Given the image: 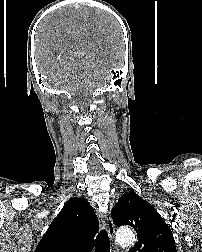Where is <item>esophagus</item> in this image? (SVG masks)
Returning a JSON list of instances; mask_svg holds the SVG:
<instances>
[{"label": "esophagus", "instance_id": "obj_1", "mask_svg": "<svg viewBox=\"0 0 202 252\" xmlns=\"http://www.w3.org/2000/svg\"><path fill=\"white\" fill-rule=\"evenodd\" d=\"M98 216L104 222L109 236L111 237V239H113L114 234H115V227H114L113 221L111 219L110 213L109 212H105V213L99 212Z\"/></svg>", "mask_w": 202, "mask_h": 252}]
</instances>
